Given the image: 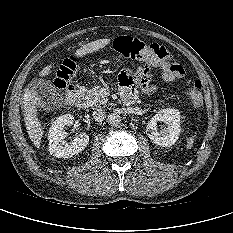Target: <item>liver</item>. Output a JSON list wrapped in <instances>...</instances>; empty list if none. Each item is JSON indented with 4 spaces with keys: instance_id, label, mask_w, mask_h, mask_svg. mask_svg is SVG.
Returning <instances> with one entry per match:
<instances>
[{
    "instance_id": "obj_1",
    "label": "liver",
    "mask_w": 233,
    "mask_h": 233,
    "mask_svg": "<svg viewBox=\"0 0 233 233\" xmlns=\"http://www.w3.org/2000/svg\"><path fill=\"white\" fill-rule=\"evenodd\" d=\"M111 43L110 39H98L83 45L79 49L76 50L75 56L76 57H83L86 54L93 53L99 51L100 49L104 48L108 44ZM52 65H48L39 73L40 76H46L50 74ZM32 85V84H31ZM24 101H23V109L25 114V126L29 138L33 142V144L39 148L41 139L43 136V129L41 123L39 122L36 112L37 106L39 105L40 98L35 93L33 88H27L24 94Z\"/></svg>"
}]
</instances>
